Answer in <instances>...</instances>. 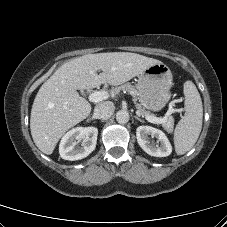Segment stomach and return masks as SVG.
Returning <instances> with one entry per match:
<instances>
[{"mask_svg": "<svg viewBox=\"0 0 227 227\" xmlns=\"http://www.w3.org/2000/svg\"><path fill=\"white\" fill-rule=\"evenodd\" d=\"M172 80V73L164 63L151 65L140 73L137 96L141 106L153 112L162 110L170 100Z\"/></svg>", "mask_w": 227, "mask_h": 227, "instance_id": "1", "label": "stomach"}]
</instances>
